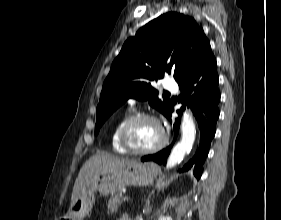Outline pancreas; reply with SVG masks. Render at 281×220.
Returning a JSON list of instances; mask_svg holds the SVG:
<instances>
[{
  "label": "pancreas",
  "mask_w": 281,
  "mask_h": 220,
  "mask_svg": "<svg viewBox=\"0 0 281 220\" xmlns=\"http://www.w3.org/2000/svg\"><path fill=\"white\" fill-rule=\"evenodd\" d=\"M123 195L121 192L116 193L108 201V209L114 213L118 211L119 205L122 203Z\"/></svg>",
  "instance_id": "pancreas-1"
}]
</instances>
